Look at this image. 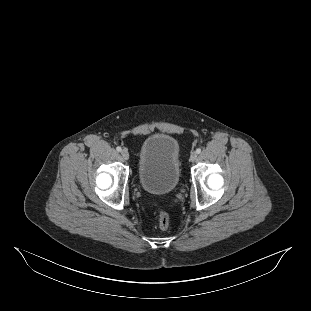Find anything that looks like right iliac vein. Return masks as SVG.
<instances>
[{
	"mask_svg": "<svg viewBox=\"0 0 311 311\" xmlns=\"http://www.w3.org/2000/svg\"><path fill=\"white\" fill-rule=\"evenodd\" d=\"M121 155H122L124 160H128L129 159V152L126 149H123L121 151Z\"/></svg>",
	"mask_w": 311,
	"mask_h": 311,
	"instance_id": "right-iliac-vein-1",
	"label": "right iliac vein"
}]
</instances>
